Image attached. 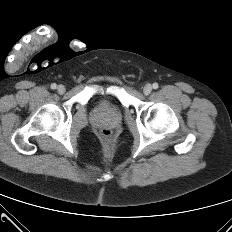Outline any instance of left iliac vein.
<instances>
[{"label":"left iliac vein","instance_id":"1","mask_svg":"<svg viewBox=\"0 0 232 232\" xmlns=\"http://www.w3.org/2000/svg\"><path fill=\"white\" fill-rule=\"evenodd\" d=\"M152 91V86L150 84H146L144 87H143V93L145 95H149Z\"/></svg>","mask_w":232,"mask_h":232}]
</instances>
